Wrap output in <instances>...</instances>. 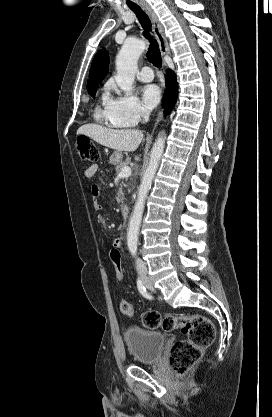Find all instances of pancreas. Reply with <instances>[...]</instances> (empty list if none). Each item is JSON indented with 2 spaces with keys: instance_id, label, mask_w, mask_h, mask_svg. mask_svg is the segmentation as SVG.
I'll use <instances>...</instances> for the list:
<instances>
[{
  "instance_id": "obj_1",
  "label": "pancreas",
  "mask_w": 272,
  "mask_h": 417,
  "mask_svg": "<svg viewBox=\"0 0 272 417\" xmlns=\"http://www.w3.org/2000/svg\"><path fill=\"white\" fill-rule=\"evenodd\" d=\"M129 158H127L124 162L119 163L118 165H116V173H120L121 170L126 167L129 164ZM123 186H126V184H124V182H122V185H120V188L117 192L116 195V200L118 203H122L124 200V193H123Z\"/></svg>"
}]
</instances>
